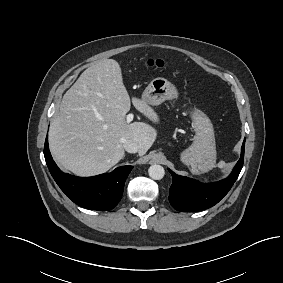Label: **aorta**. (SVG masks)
<instances>
[{"label":"aorta","mask_w":283,"mask_h":283,"mask_svg":"<svg viewBox=\"0 0 283 283\" xmlns=\"http://www.w3.org/2000/svg\"><path fill=\"white\" fill-rule=\"evenodd\" d=\"M149 176L154 180H161L165 175V170L161 165H151L148 169Z\"/></svg>","instance_id":"1"}]
</instances>
